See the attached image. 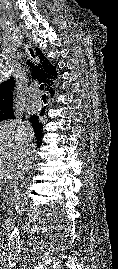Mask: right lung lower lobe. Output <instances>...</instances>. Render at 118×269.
Returning <instances> with one entry per match:
<instances>
[{
  "mask_svg": "<svg viewBox=\"0 0 118 269\" xmlns=\"http://www.w3.org/2000/svg\"><path fill=\"white\" fill-rule=\"evenodd\" d=\"M36 136H37V135H36ZM41 138H42V136H40V137L37 136V139H38V141H39V142H38V145H40V140H41Z\"/></svg>",
  "mask_w": 118,
  "mask_h": 269,
  "instance_id": "right-lung-lower-lobe-1",
  "label": "right lung lower lobe"
}]
</instances>
